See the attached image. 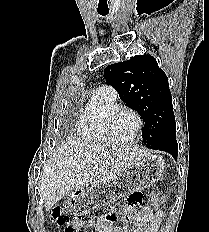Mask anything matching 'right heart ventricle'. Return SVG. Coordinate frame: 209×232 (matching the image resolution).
Wrapping results in <instances>:
<instances>
[{"label": "right heart ventricle", "instance_id": "1", "mask_svg": "<svg viewBox=\"0 0 209 232\" xmlns=\"http://www.w3.org/2000/svg\"><path fill=\"white\" fill-rule=\"evenodd\" d=\"M117 106L116 99L111 98L103 88L96 89L78 118L77 131L80 137L93 145L110 144L104 132V120L106 114Z\"/></svg>", "mask_w": 209, "mask_h": 232}]
</instances>
